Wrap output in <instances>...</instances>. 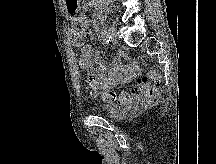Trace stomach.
I'll list each match as a JSON object with an SVG mask.
<instances>
[{"mask_svg":"<svg viewBox=\"0 0 216 164\" xmlns=\"http://www.w3.org/2000/svg\"><path fill=\"white\" fill-rule=\"evenodd\" d=\"M81 0H65L66 12H68V17H78L77 10L80 8Z\"/></svg>","mask_w":216,"mask_h":164,"instance_id":"1","label":"stomach"}]
</instances>
